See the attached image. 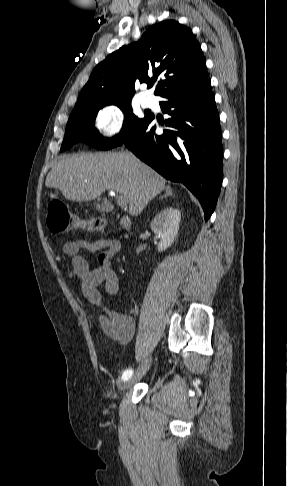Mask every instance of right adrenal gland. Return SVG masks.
<instances>
[{
    "label": "right adrenal gland",
    "mask_w": 287,
    "mask_h": 486,
    "mask_svg": "<svg viewBox=\"0 0 287 486\" xmlns=\"http://www.w3.org/2000/svg\"><path fill=\"white\" fill-rule=\"evenodd\" d=\"M172 195H173L172 190H171V188L168 186V187H166V188H165V194H164V195H162V196H160V197H159V199H163V198H166V197H168V196H172Z\"/></svg>",
    "instance_id": "obj_1"
}]
</instances>
